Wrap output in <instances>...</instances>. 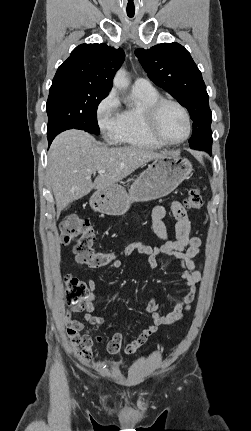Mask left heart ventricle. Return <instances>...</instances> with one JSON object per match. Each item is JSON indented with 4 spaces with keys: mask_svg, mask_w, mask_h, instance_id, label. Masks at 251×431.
Segmentation results:
<instances>
[{
    "mask_svg": "<svg viewBox=\"0 0 251 431\" xmlns=\"http://www.w3.org/2000/svg\"><path fill=\"white\" fill-rule=\"evenodd\" d=\"M160 134L168 141H178L186 133V122L183 113L174 105L163 107L158 118Z\"/></svg>",
    "mask_w": 251,
    "mask_h": 431,
    "instance_id": "b2bd125f",
    "label": "left heart ventricle"
}]
</instances>
